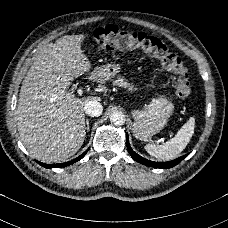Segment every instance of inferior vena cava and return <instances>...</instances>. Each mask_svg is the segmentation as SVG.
<instances>
[{
  "instance_id": "602c4592",
  "label": "inferior vena cava",
  "mask_w": 228,
  "mask_h": 228,
  "mask_svg": "<svg viewBox=\"0 0 228 228\" xmlns=\"http://www.w3.org/2000/svg\"><path fill=\"white\" fill-rule=\"evenodd\" d=\"M103 112V106L100 102L95 100H89L84 104V113L90 117H98Z\"/></svg>"
}]
</instances>
